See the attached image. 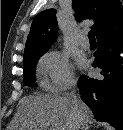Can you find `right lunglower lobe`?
<instances>
[{
	"instance_id": "98d812e1",
	"label": "right lung lower lobe",
	"mask_w": 123,
	"mask_h": 130,
	"mask_svg": "<svg viewBox=\"0 0 123 130\" xmlns=\"http://www.w3.org/2000/svg\"><path fill=\"white\" fill-rule=\"evenodd\" d=\"M117 27V29H115ZM97 36L98 49L93 66L100 76L82 75L78 80L82 100L91 108L97 120L106 121L123 130V22Z\"/></svg>"
}]
</instances>
